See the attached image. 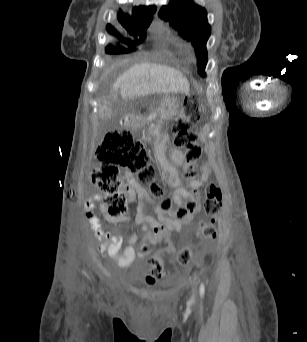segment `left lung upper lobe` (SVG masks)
I'll use <instances>...</instances> for the list:
<instances>
[{
    "instance_id": "5c2ea615",
    "label": "left lung upper lobe",
    "mask_w": 307,
    "mask_h": 342,
    "mask_svg": "<svg viewBox=\"0 0 307 342\" xmlns=\"http://www.w3.org/2000/svg\"><path fill=\"white\" fill-rule=\"evenodd\" d=\"M159 16L191 40L196 51L199 71L204 75L207 63L206 43L211 33L206 10L193 4L191 0H175L163 6Z\"/></svg>"
}]
</instances>
